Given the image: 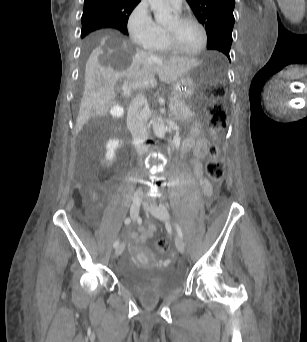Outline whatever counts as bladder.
Listing matches in <instances>:
<instances>
[{
	"instance_id": "obj_1",
	"label": "bladder",
	"mask_w": 307,
	"mask_h": 342,
	"mask_svg": "<svg viewBox=\"0 0 307 342\" xmlns=\"http://www.w3.org/2000/svg\"><path fill=\"white\" fill-rule=\"evenodd\" d=\"M121 284L132 293L152 300L160 299L180 285L173 272H159L132 260H125L119 271Z\"/></svg>"
}]
</instances>
